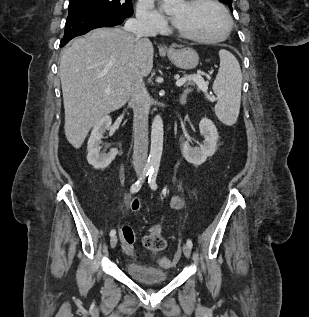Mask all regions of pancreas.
<instances>
[{
    "label": "pancreas",
    "instance_id": "pancreas-1",
    "mask_svg": "<svg viewBox=\"0 0 309 317\" xmlns=\"http://www.w3.org/2000/svg\"><path fill=\"white\" fill-rule=\"evenodd\" d=\"M190 76H192V75H184V78H188V77H190ZM189 85L195 86V85H197V84H196V82L193 81V80H188V81L186 82V86H189ZM197 87H198V89H200V87H199L198 85H197Z\"/></svg>",
    "mask_w": 309,
    "mask_h": 317
}]
</instances>
